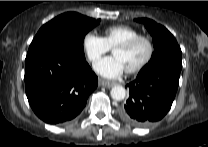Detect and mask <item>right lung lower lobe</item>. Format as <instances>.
I'll return each mask as SVG.
<instances>
[{
    "mask_svg": "<svg viewBox=\"0 0 208 147\" xmlns=\"http://www.w3.org/2000/svg\"><path fill=\"white\" fill-rule=\"evenodd\" d=\"M24 79L31 108L49 124L74 119L98 85L85 59L58 48L27 55Z\"/></svg>",
    "mask_w": 208,
    "mask_h": 147,
    "instance_id": "1",
    "label": "right lung lower lobe"
}]
</instances>
